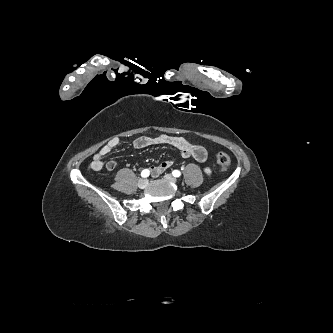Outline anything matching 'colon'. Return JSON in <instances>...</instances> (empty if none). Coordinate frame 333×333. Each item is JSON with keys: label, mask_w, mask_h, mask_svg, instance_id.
<instances>
[{"label": "colon", "mask_w": 333, "mask_h": 333, "mask_svg": "<svg viewBox=\"0 0 333 333\" xmlns=\"http://www.w3.org/2000/svg\"><path fill=\"white\" fill-rule=\"evenodd\" d=\"M216 162H217L218 166L220 167V169L224 172L229 169L230 164H231L230 157L224 152H219L217 154Z\"/></svg>", "instance_id": "1"}]
</instances>
